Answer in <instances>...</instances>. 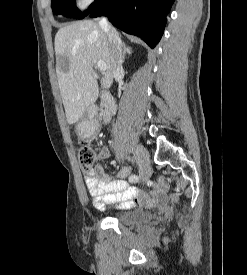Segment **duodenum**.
<instances>
[{"instance_id": "duodenum-1", "label": "duodenum", "mask_w": 247, "mask_h": 275, "mask_svg": "<svg viewBox=\"0 0 247 275\" xmlns=\"http://www.w3.org/2000/svg\"><path fill=\"white\" fill-rule=\"evenodd\" d=\"M116 111V103L109 93H103L100 99L99 111L97 118L102 122H106Z\"/></svg>"}]
</instances>
